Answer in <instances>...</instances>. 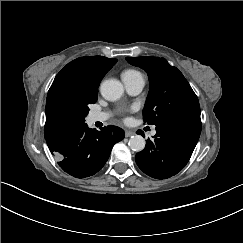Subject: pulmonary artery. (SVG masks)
Here are the masks:
<instances>
[{"instance_id":"obj_1","label":"pulmonary artery","mask_w":243,"mask_h":243,"mask_svg":"<svg viewBox=\"0 0 243 243\" xmlns=\"http://www.w3.org/2000/svg\"><path fill=\"white\" fill-rule=\"evenodd\" d=\"M144 85H145V81H144V79H141L135 83L125 84V87L130 94L135 95L142 91V89L144 88ZM108 118H109V114L106 112H97V113L91 114L92 123L104 122V121L108 120ZM155 133H156V131L152 130L151 134L154 135Z\"/></svg>"}]
</instances>
